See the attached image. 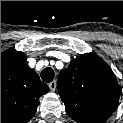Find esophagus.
<instances>
[{
  "instance_id": "34e87169",
  "label": "esophagus",
  "mask_w": 123,
  "mask_h": 123,
  "mask_svg": "<svg viewBox=\"0 0 123 123\" xmlns=\"http://www.w3.org/2000/svg\"><path fill=\"white\" fill-rule=\"evenodd\" d=\"M49 88L51 91H55L56 89V81H52L49 83Z\"/></svg>"
}]
</instances>
